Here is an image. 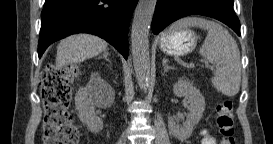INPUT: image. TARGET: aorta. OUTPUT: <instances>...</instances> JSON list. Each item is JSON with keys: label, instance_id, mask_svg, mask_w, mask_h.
Returning a JSON list of instances; mask_svg holds the SVG:
<instances>
[{"label": "aorta", "instance_id": "762f6f07", "mask_svg": "<svg viewBox=\"0 0 273 144\" xmlns=\"http://www.w3.org/2000/svg\"><path fill=\"white\" fill-rule=\"evenodd\" d=\"M156 0H139L132 23L131 48L135 75L145 89L150 77L149 31Z\"/></svg>", "mask_w": 273, "mask_h": 144}]
</instances>
